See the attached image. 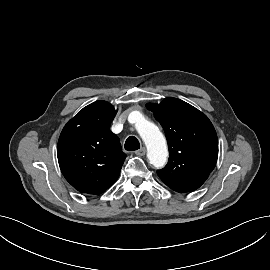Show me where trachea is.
<instances>
[{
  "label": "trachea",
  "instance_id": "obj_1",
  "mask_svg": "<svg viewBox=\"0 0 270 270\" xmlns=\"http://www.w3.org/2000/svg\"><path fill=\"white\" fill-rule=\"evenodd\" d=\"M124 147L127 151H135L140 149V143L136 137L130 136L125 141Z\"/></svg>",
  "mask_w": 270,
  "mask_h": 270
}]
</instances>
